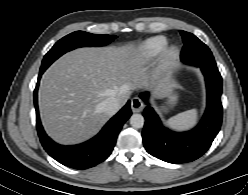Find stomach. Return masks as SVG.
Masks as SVG:
<instances>
[{"label": "stomach", "instance_id": "stomach-1", "mask_svg": "<svg viewBox=\"0 0 248 195\" xmlns=\"http://www.w3.org/2000/svg\"><path fill=\"white\" fill-rule=\"evenodd\" d=\"M176 89H177V85L174 83H170L162 94V97L167 98V103L169 105H174L177 101L178 96L175 93ZM162 109L163 111L167 110V108L165 107H163Z\"/></svg>", "mask_w": 248, "mask_h": 195}]
</instances>
